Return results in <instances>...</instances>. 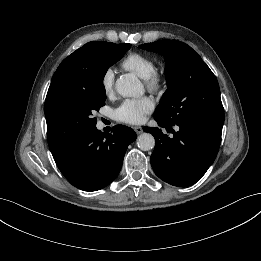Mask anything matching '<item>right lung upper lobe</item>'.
<instances>
[{"mask_svg": "<svg viewBox=\"0 0 261 261\" xmlns=\"http://www.w3.org/2000/svg\"><path fill=\"white\" fill-rule=\"evenodd\" d=\"M108 44L110 43L101 41L89 42L62 61L52 78L44 110L57 97L85 88L89 84L87 72L89 58Z\"/></svg>", "mask_w": 261, "mask_h": 261, "instance_id": "right-lung-upper-lobe-1", "label": "right lung upper lobe"}]
</instances>
